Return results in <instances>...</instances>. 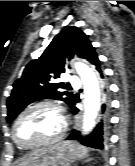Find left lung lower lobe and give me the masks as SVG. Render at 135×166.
I'll use <instances>...</instances> for the list:
<instances>
[{
    "label": "left lung lower lobe",
    "mask_w": 135,
    "mask_h": 166,
    "mask_svg": "<svg viewBox=\"0 0 135 166\" xmlns=\"http://www.w3.org/2000/svg\"><path fill=\"white\" fill-rule=\"evenodd\" d=\"M91 63L95 65L96 70L100 73V77L104 79V76L102 74L100 61L98 57L96 56ZM103 104L101 105V114L102 118L100 122L97 124V126L94 128V130L85 137H82L80 135V132L73 130L72 133L67 138L68 140H79L81 144L96 148V149H104L106 143H107V137H108V126H109V119H110V103H109V92L108 87L105 81H103ZM77 100L75 99L73 104L71 105V109L74 114H77L79 110L75 107V103Z\"/></svg>",
    "instance_id": "0a47b994"
}]
</instances>
